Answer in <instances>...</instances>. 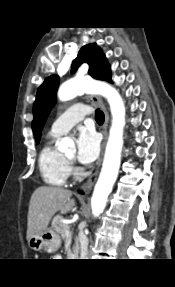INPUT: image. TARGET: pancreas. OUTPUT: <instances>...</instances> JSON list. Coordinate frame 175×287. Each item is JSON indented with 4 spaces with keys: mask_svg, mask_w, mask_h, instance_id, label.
<instances>
[{
    "mask_svg": "<svg viewBox=\"0 0 175 287\" xmlns=\"http://www.w3.org/2000/svg\"><path fill=\"white\" fill-rule=\"evenodd\" d=\"M51 228L56 232L61 234L64 240L67 239V235L65 234V228H70L67 224L63 223L61 217H54L51 223ZM77 249V244L74 247V250Z\"/></svg>",
    "mask_w": 175,
    "mask_h": 287,
    "instance_id": "pancreas-1",
    "label": "pancreas"
}]
</instances>
